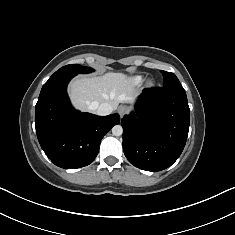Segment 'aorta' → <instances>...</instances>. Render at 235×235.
I'll return each mask as SVG.
<instances>
[{
  "mask_svg": "<svg viewBox=\"0 0 235 235\" xmlns=\"http://www.w3.org/2000/svg\"><path fill=\"white\" fill-rule=\"evenodd\" d=\"M123 133V128L121 125H115L113 128H112V134L114 136H121Z\"/></svg>",
  "mask_w": 235,
  "mask_h": 235,
  "instance_id": "1",
  "label": "aorta"
}]
</instances>
